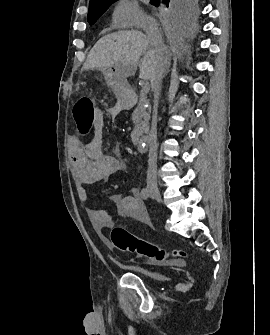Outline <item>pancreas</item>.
I'll return each mask as SVG.
<instances>
[{"label":"pancreas","instance_id":"cf45deb5","mask_svg":"<svg viewBox=\"0 0 270 335\" xmlns=\"http://www.w3.org/2000/svg\"><path fill=\"white\" fill-rule=\"evenodd\" d=\"M132 120L134 124V130L131 134L132 142H137L139 136L142 134H148L149 132V120L150 114H147L145 110H135L132 114Z\"/></svg>","mask_w":270,"mask_h":335}]
</instances>
